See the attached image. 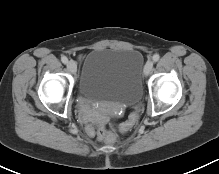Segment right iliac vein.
Returning a JSON list of instances; mask_svg holds the SVG:
<instances>
[{"label":"right iliac vein","instance_id":"63e3f726","mask_svg":"<svg viewBox=\"0 0 219 174\" xmlns=\"http://www.w3.org/2000/svg\"><path fill=\"white\" fill-rule=\"evenodd\" d=\"M67 68L69 70V72H71L72 74H75L77 71V64L75 61L70 60L69 62H67Z\"/></svg>","mask_w":219,"mask_h":174}]
</instances>
